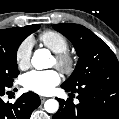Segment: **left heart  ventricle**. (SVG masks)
Listing matches in <instances>:
<instances>
[{"mask_svg": "<svg viewBox=\"0 0 119 119\" xmlns=\"http://www.w3.org/2000/svg\"><path fill=\"white\" fill-rule=\"evenodd\" d=\"M52 65H56V60L55 59H53Z\"/></svg>", "mask_w": 119, "mask_h": 119, "instance_id": "b2bd125f", "label": "left heart ventricle"}]
</instances>
